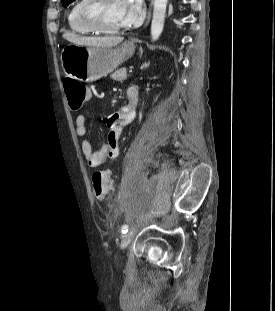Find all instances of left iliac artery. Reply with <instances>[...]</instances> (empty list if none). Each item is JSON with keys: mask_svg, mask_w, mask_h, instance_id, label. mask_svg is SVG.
I'll return each mask as SVG.
<instances>
[{"mask_svg": "<svg viewBox=\"0 0 275 311\" xmlns=\"http://www.w3.org/2000/svg\"><path fill=\"white\" fill-rule=\"evenodd\" d=\"M128 228H129V227H128L127 224L123 225L122 228H121L122 234H126V233L128 232Z\"/></svg>", "mask_w": 275, "mask_h": 311, "instance_id": "44dca946", "label": "left iliac artery"}]
</instances>
